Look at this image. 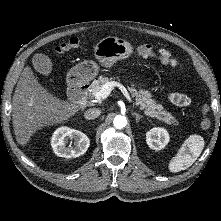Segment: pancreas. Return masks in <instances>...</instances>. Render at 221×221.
Wrapping results in <instances>:
<instances>
[{
    "mask_svg": "<svg viewBox=\"0 0 221 221\" xmlns=\"http://www.w3.org/2000/svg\"><path fill=\"white\" fill-rule=\"evenodd\" d=\"M111 79L108 77L100 76L97 80H94L91 84V95L94 96L101 87L109 82ZM128 90L132 93V96L136 98V103L144 110L145 114L150 117L156 118L167 125H178L177 119L169 112L164 110L163 106L157 104L154 99H151V94L147 90L140 89L139 91L132 84V87H128Z\"/></svg>",
    "mask_w": 221,
    "mask_h": 221,
    "instance_id": "obj_1",
    "label": "pancreas"
}]
</instances>
